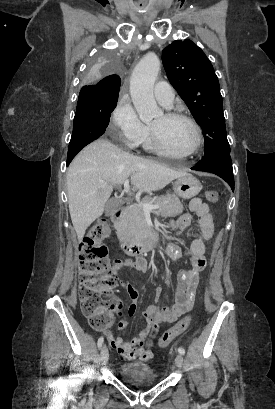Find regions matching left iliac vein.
Wrapping results in <instances>:
<instances>
[{
    "instance_id": "left-iliac-vein-1",
    "label": "left iliac vein",
    "mask_w": 275,
    "mask_h": 409,
    "mask_svg": "<svg viewBox=\"0 0 275 409\" xmlns=\"http://www.w3.org/2000/svg\"><path fill=\"white\" fill-rule=\"evenodd\" d=\"M184 363V358L181 354L177 355L175 358V365L177 368H182Z\"/></svg>"
}]
</instances>
